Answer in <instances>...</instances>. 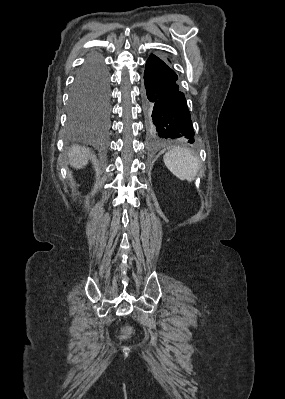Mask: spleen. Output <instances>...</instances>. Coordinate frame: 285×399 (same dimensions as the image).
Instances as JSON below:
<instances>
[{
  "label": "spleen",
  "instance_id": "spleen-1",
  "mask_svg": "<svg viewBox=\"0 0 285 399\" xmlns=\"http://www.w3.org/2000/svg\"><path fill=\"white\" fill-rule=\"evenodd\" d=\"M166 167L180 180L195 179L199 170V159L187 148L175 147L163 157Z\"/></svg>",
  "mask_w": 285,
  "mask_h": 399
}]
</instances>
